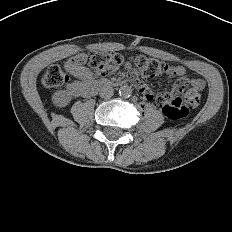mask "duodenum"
Wrapping results in <instances>:
<instances>
[{
  "label": "duodenum",
  "instance_id": "obj_1",
  "mask_svg": "<svg viewBox=\"0 0 232 232\" xmlns=\"http://www.w3.org/2000/svg\"><path fill=\"white\" fill-rule=\"evenodd\" d=\"M124 84H126V82H121V85H124ZM114 85H115L114 82L107 80V79H99L94 82H91L87 87L88 96L93 95L97 90L101 88L111 87Z\"/></svg>",
  "mask_w": 232,
  "mask_h": 232
}]
</instances>
